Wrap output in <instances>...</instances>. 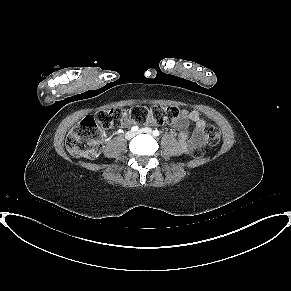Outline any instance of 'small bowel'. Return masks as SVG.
Masks as SVG:
<instances>
[{
  "mask_svg": "<svg viewBox=\"0 0 291 291\" xmlns=\"http://www.w3.org/2000/svg\"><path fill=\"white\" fill-rule=\"evenodd\" d=\"M187 121H190L194 124V130L191 134L188 132H181L179 134V143L181 147L186 151H192L196 147H200L204 144V128L205 122L200 117L199 113L196 110L181 112V116L173 120L171 123L177 127H183ZM132 123L131 120L125 118L121 122L122 127H127Z\"/></svg>",
  "mask_w": 291,
  "mask_h": 291,
  "instance_id": "1",
  "label": "small bowel"
}]
</instances>
